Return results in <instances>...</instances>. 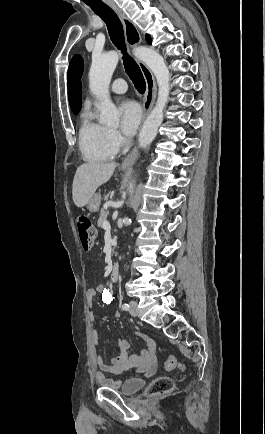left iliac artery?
Masks as SVG:
<instances>
[{"instance_id":"44dca946","label":"left iliac artery","mask_w":265,"mask_h":434,"mask_svg":"<svg viewBox=\"0 0 265 434\" xmlns=\"http://www.w3.org/2000/svg\"><path fill=\"white\" fill-rule=\"evenodd\" d=\"M122 309H123V310H128V309H129V305H128L127 303H124V304L122 305Z\"/></svg>"}]
</instances>
